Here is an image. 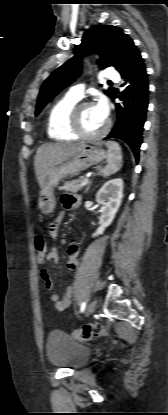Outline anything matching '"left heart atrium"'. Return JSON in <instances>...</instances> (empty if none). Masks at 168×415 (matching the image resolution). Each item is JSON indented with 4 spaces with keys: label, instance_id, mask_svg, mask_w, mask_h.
Wrapping results in <instances>:
<instances>
[{
    "label": "left heart atrium",
    "instance_id": "left-heart-atrium-1",
    "mask_svg": "<svg viewBox=\"0 0 168 415\" xmlns=\"http://www.w3.org/2000/svg\"><path fill=\"white\" fill-rule=\"evenodd\" d=\"M93 106L98 116L101 119L106 120L108 116V104L106 100L103 97H100Z\"/></svg>",
    "mask_w": 168,
    "mask_h": 415
}]
</instances>
